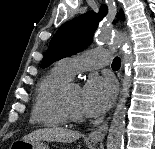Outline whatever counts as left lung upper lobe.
<instances>
[{
    "instance_id": "left-lung-upper-lobe-1",
    "label": "left lung upper lobe",
    "mask_w": 155,
    "mask_h": 149,
    "mask_svg": "<svg viewBox=\"0 0 155 149\" xmlns=\"http://www.w3.org/2000/svg\"><path fill=\"white\" fill-rule=\"evenodd\" d=\"M117 15L124 19L123 12ZM107 14V7L102 6L100 13L93 11L80 15L63 24L50 41L42 60L41 67L46 68L53 62L71 56L85 49L93 39L98 22Z\"/></svg>"
}]
</instances>
